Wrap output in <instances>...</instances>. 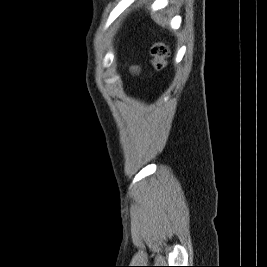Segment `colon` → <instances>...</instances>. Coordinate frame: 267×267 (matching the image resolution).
I'll use <instances>...</instances> for the list:
<instances>
[{
  "label": "colon",
  "instance_id": "colon-1",
  "mask_svg": "<svg viewBox=\"0 0 267 267\" xmlns=\"http://www.w3.org/2000/svg\"><path fill=\"white\" fill-rule=\"evenodd\" d=\"M169 47L163 42H156L151 46L152 65L157 71L163 70L167 65Z\"/></svg>",
  "mask_w": 267,
  "mask_h": 267
}]
</instances>
